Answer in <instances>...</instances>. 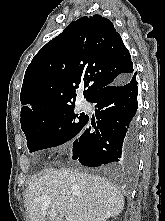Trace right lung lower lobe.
<instances>
[{"mask_svg":"<svg viewBox=\"0 0 165 221\" xmlns=\"http://www.w3.org/2000/svg\"><path fill=\"white\" fill-rule=\"evenodd\" d=\"M136 74L98 90L89 100L97 103L98 121L92 124L95 131L90 132L87 118L73 143V159L82 165L116 164L129 170L135 168L138 160Z\"/></svg>","mask_w":165,"mask_h":221,"instance_id":"98d812e1","label":"right lung lower lobe"}]
</instances>
